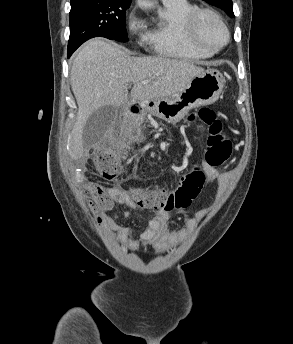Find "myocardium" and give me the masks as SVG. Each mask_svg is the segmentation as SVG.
I'll return each mask as SVG.
<instances>
[{
    "instance_id": "1",
    "label": "myocardium",
    "mask_w": 293,
    "mask_h": 344,
    "mask_svg": "<svg viewBox=\"0 0 293 344\" xmlns=\"http://www.w3.org/2000/svg\"><path fill=\"white\" fill-rule=\"evenodd\" d=\"M205 16L211 17L212 19H214L222 27V29L225 33L224 42L215 48H210L207 45H205L201 41L199 34H198L199 22ZM184 31H185V34H186L188 41L193 46H195L196 48H198L202 51L209 52V53H216V52L220 51L221 49H223L228 44V42L230 40V31H229L225 21L216 11L209 9V8H197L196 10H194L188 16V18L185 21Z\"/></svg>"
}]
</instances>
